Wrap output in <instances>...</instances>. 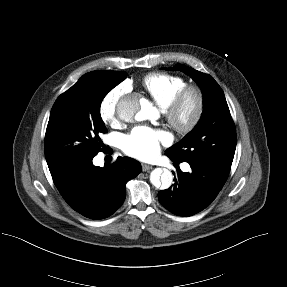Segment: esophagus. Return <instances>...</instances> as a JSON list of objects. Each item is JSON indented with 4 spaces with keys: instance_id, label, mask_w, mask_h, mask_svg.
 <instances>
[{
    "instance_id": "obj_1",
    "label": "esophagus",
    "mask_w": 287,
    "mask_h": 287,
    "mask_svg": "<svg viewBox=\"0 0 287 287\" xmlns=\"http://www.w3.org/2000/svg\"><path fill=\"white\" fill-rule=\"evenodd\" d=\"M153 167L151 165L148 164H142V170L143 171H148L151 170Z\"/></svg>"
}]
</instances>
